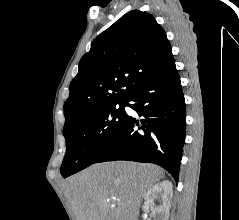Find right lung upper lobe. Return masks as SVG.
Listing matches in <instances>:
<instances>
[{"mask_svg": "<svg viewBox=\"0 0 239 220\" xmlns=\"http://www.w3.org/2000/svg\"><path fill=\"white\" fill-rule=\"evenodd\" d=\"M173 60L166 33L151 14H125L94 39L81 58L64 103L63 130L89 112L125 102Z\"/></svg>", "mask_w": 239, "mask_h": 220, "instance_id": "obj_1", "label": "right lung upper lobe"}]
</instances>
